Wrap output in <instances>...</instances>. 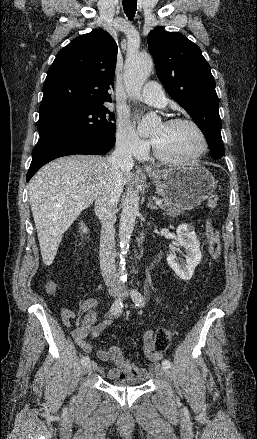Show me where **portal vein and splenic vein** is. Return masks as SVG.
Listing matches in <instances>:
<instances>
[{
	"label": "portal vein and splenic vein",
	"mask_w": 257,
	"mask_h": 439,
	"mask_svg": "<svg viewBox=\"0 0 257 439\" xmlns=\"http://www.w3.org/2000/svg\"><path fill=\"white\" fill-rule=\"evenodd\" d=\"M77 199H81V197H76ZM162 200L161 199H158V200H156L155 201V203H156V205H161L162 204Z\"/></svg>",
	"instance_id": "obj_1"
}]
</instances>
